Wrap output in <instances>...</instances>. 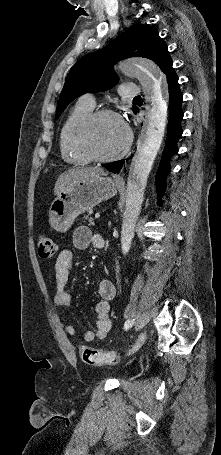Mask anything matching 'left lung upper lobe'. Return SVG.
<instances>
[{
    "label": "left lung upper lobe",
    "instance_id": "5c2ea615",
    "mask_svg": "<svg viewBox=\"0 0 221 455\" xmlns=\"http://www.w3.org/2000/svg\"><path fill=\"white\" fill-rule=\"evenodd\" d=\"M137 56L153 60L163 72L172 65L167 45L156 28L137 24L106 47L83 56L75 63L61 92L56 119L75 98L115 86L118 77L112 69L113 65L119 60ZM136 111L137 108L134 109Z\"/></svg>",
    "mask_w": 221,
    "mask_h": 455
}]
</instances>
